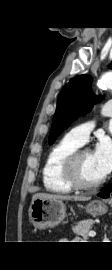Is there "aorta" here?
I'll use <instances>...</instances> for the list:
<instances>
[{"label":"aorta","instance_id":"aorta-1","mask_svg":"<svg viewBox=\"0 0 112 270\" xmlns=\"http://www.w3.org/2000/svg\"><path fill=\"white\" fill-rule=\"evenodd\" d=\"M98 86L112 89V72L104 74L98 81Z\"/></svg>","mask_w":112,"mask_h":270}]
</instances>
